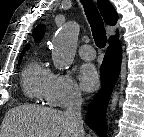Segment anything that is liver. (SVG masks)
I'll return each mask as SVG.
<instances>
[{
	"instance_id": "obj_1",
	"label": "liver",
	"mask_w": 144,
	"mask_h": 137,
	"mask_svg": "<svg viewBox=\"0 0 144 137\" xmlns=\"http://www.w3.org/2000/svg\"><path fill=\"white\" fill-rule=\"evenodd\" d=\"M67 112L26 104L10 109L0 137H76Z\"/></svg>"
}]
</instances>
